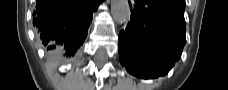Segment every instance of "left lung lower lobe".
I'll list each match as a JSON object with an SVG mask.
<instances>
[{
	"label": "left lung lower lobe",
	"instance_id": "left-lung-lower-lobe-1",
	"mask_svg": "<svg viewBox=\"0 0 228 90\" xmlns=\"http://www.w3.org/2000/svg\"><path fill=\"white\" fill-rule=\"evenodd\" d=\"M130 23L119 33V57L139 78L166 75L186 43L185 0H129Z\"/></svg>",
	"mask_w": 228,
	"mask_h": 90
}]
</instances>
